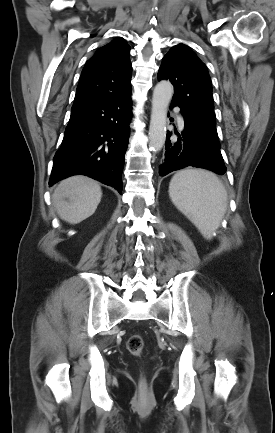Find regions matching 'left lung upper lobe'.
I'll return each mask as SVG.
<instances>
[{"instance_id": "left-lung-upper-lobe-1", "label": "left lung upper lobe", "mask_w": 275, "mask_h": 433, "mask_svg": "<svg viewBox=\"0 0 275 433\" xmlns=\"http://www.w3.org/2000/svg\"><path fill=\"white\" fill-rule=\"evenodd\" d=\"M158 79L171 81L174 86L173 100L182 105L187 125L210 138L222 158L216 130L212 84L205 64L188 46L178 44L164 56Z\"/></svg>"}]
</instances>
